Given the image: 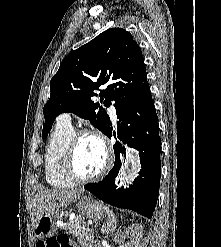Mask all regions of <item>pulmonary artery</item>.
I'll return each instance as SVG.
<instances>
[{
  "label": "pulmonary artery",
  "instance_id": "1",
  "mask_svg": "<svg viewBox=\"0 0 221 247\" xmlns=\"http://www.w3.org/2000/svg\"><path fill=\"white\" fill-rule=\"evenodd\" d=\"M109 114L111 115V117L113 118L114 121H116V109L111 106L110 109H109ZM58 120L62 123H65V124H69L71 125V116L69 113H63L59 116Z\"/></svg>",
  "mask_w": 221,
  "mask_h": 247
}]
</instances>
